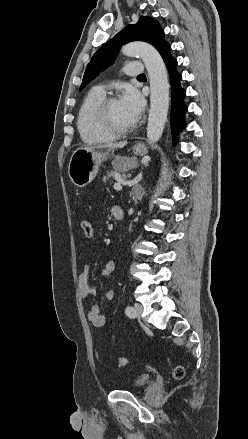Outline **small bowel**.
<instances>
[{
  "label": "small bowel",
  "instance_id": "1",
  "mask_svg": "<svg viewBox=\"0 0 248 439\" xmlns=\"http://www.w3.org/2000/svg\"><path fill=\"white\" fill-rule=\"evenodd\" d=\"M115 270V263L113 261H109L106 263L102 270V276L106 280L110 279L111 274ZM78 285L80 289V293L82 298L89 299L91 297L96 296V288L91 282L90 278V267L85 265L78 276ZM105 296L108 300H112L115 297V293L113 290L108 288L105 292ZM89 321L96 328H102L106 324V317L101 314L100 309L97 305H92L88 311Z\"/></svg>",
  "mask_w": 248,
  "mask_h": 439
}]
</instances>
